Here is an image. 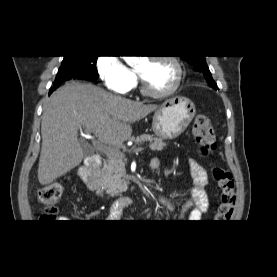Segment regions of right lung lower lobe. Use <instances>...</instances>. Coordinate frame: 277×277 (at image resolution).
I'll list each match as a JSON object with an SVG mask.
<instances>
[{
  "label": "right lung lower lobe",
  "mask_w": 277,
  "mask_h": 277,
  "mask_svg": "<svg viewBox=\"0 0 277 277\" xmlns=\"http://www.w3.org/2000/svg\"><path fill=\"white\" fill-rule=\"evenodd\" d=\"M71 79H85V80H90L89 78L83 76V75H79V74H74L72 72H68V73H62L56 76V79L54 81L53 84V88L50 89V93H52L54 91L55 88H58L59 85L65 81L71 80ZM93 81V80H91ZM95 82V81H93Z\"/></svg>",
  "instance_id": "obj_1"
}]
</instances>
